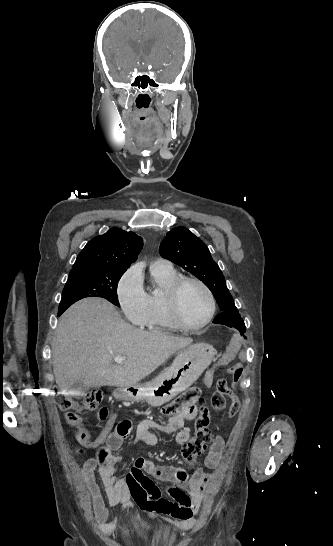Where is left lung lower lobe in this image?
Wrapping results in <instances>:
<instances>
[{
	"mask_svg": "<svg viewBox=\"0 0 333 546\" xmlns=\"http://www.w3.org/2000/svg\"><path fill=\"white\" fill-rule=\"evenodd\" d=\"M215 324H222L226 325L228 327H234L241 332V335H244V332L246 331L245 324L236 323L233 321V318L228 316L226 313L222 312L219 315H217L213 321ZM246 338V337H245Z\"/></svg>",
	"mask_w": 333,
	"mask_h": 546,
	"instance_id": "1",
	"label": "left lung lower lobe"
}]
</instances>
